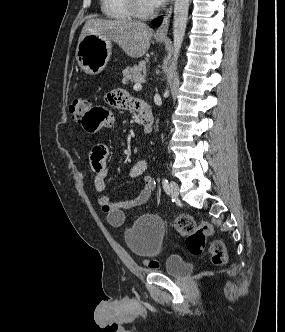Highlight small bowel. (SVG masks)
<instances>
[{
  "label": "small bowel",
  "instance_id": "1",
  "mask_svg": "<svg viewBox=\"0 0 285 332\" xmlns=\"http://www.w3.org/2000/svg\"><path fill=\"white\" fill-rule=\"evenodd\" d=\"M107 102L114 108L138 110V103L119 90L108 93ZM78 122H81V126H84L85 133H102L103 127L110 128L113 125V117L110 114L109 106H90V111H84V115H78ZM108 154L107 146L102 143L95 144L90 151V163L94 172L93 186L97 192L98 204L106 214L107 221L110 225L119 227L125 221V211L139 207L149 200L154 191L155 182L151 176H146L143 187L137 196L118 202L111 201L105 192L108 175ZM147 167V160L137 161L130 169V177H140Z\"/></svg>",
  "mask_w": 285,
  "mask_h": 332
}]
</instances>
